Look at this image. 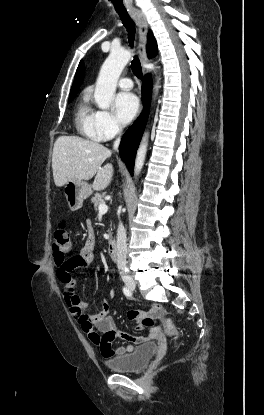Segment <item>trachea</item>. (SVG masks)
<instances>
[{
  "label": "trachea",
  "instance_id": "1",
  "mask_svg": "<svg viewBox=\"0 0 264 415\" xmlns=\"http://www.w3.org/2000/svg\"><path fill=\"white\" fill-rule=\"evenodd\" d=\"M118 14L122 20L123 25L127 29L129 45L133 48L135 38V25L127 12H118ZM131 69L138 79L142 78V68L137 55H134L133 60L131 61Z\"/></svg>",
  "mask_w": 264,
  "mask_h": 415
}]
</instances>
